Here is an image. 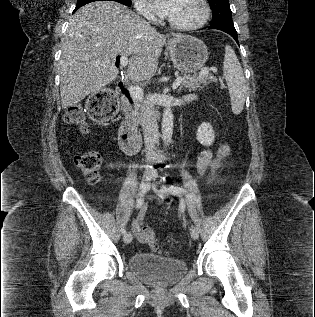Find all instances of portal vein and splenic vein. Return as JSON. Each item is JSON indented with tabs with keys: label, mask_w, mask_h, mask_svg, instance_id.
<instances>
[{
	"label": "portal vein and splenic vein",
	"mask_w": 315,
	"mask_h": 317,
	"mask_svg": "<svg viewBox=\"0 0 315 317\" xmlns=\"http://www.w3.org/2000/svg\"><path fill=\"white\" fill-rule=\"evenodd\" d=\"M128 64H129L128 58L127 57H122L121 60H120L121 67L125 68L126 66H128ZM211 70H215V69L211 68ZM208 73H209V70H202L199 73V76L203 77V76L207 75ZM181 82H182V77H177V79L173 83L172 88L173 89H177L180 86ZM129 91H130V93L132 94V96L134 98L142 99L143 91H142V89L139 86L131 85V86H129Z\"/></svg>",
	"instance_id": "1"
}]
</instances>
